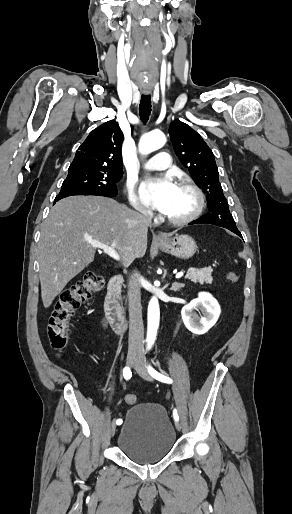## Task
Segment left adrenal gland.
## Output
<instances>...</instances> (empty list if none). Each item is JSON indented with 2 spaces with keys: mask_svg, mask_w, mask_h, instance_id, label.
<instances>
[{
  "mask_svg": "<svg viewBox=\"0 0 292 514\" xmlns=\"http://www.w3.org/2000/svg\"><path fill=\"white\" fill-rule=\"evenodd\" d=\"M168 286V284H167ZM185 284H178V282H174V284H172V288H170V290H174V292H178V290H180V288H184Z\"/></svg>",
  "mask_w": 292,
  "mask_h": 514,
  "instance_id": "left-adrenal-gland-1",
  "label": "left adrenal gland"
}]
</instances>
